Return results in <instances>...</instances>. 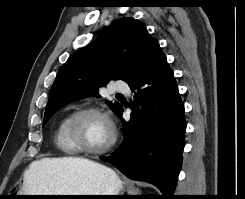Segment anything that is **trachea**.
I'll list each match as a JSON object with an SVG mask.
<instances>
[{"mask_svg": "<svg viewBox=\"0 0 245 199\" xmlns=\"http://www.w3.org/2000/svg\"><path fill=\"white\" fill-rule=\"evenodd\" d=\"M117 96H122V94H117Z\"/></svg>", "mask_w": 245, "mask_h": 199, "instance_id": "obj_1", "label": "trachea"}]
</instances>
